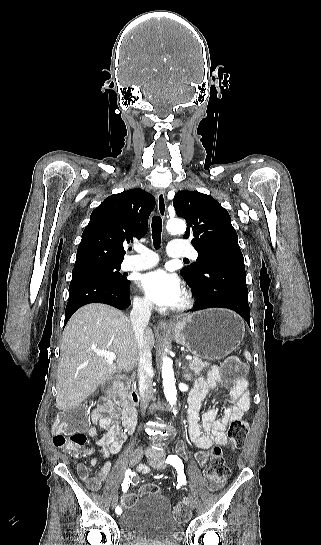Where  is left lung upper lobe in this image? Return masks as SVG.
Here are the masks:
<instances>
[{"mask_svg": "<svg viewBox=\"0 0 321 545\" xmlns=\"http://www.w3.org/2000/svg\"><path fill=\"white\" fill-rule=\"evenodd\" d=\"M177 216L186 219L185 239L198 252L197 261L180 270L186 281L197 278L204 262L214 253L240 250L238 236L226 209L207 194L180 191L173 201Z\"/></svg>", "mask_w": 321, "mask_h": 545, "instance_id": "1", "label": "left lung upper lobe"}]
</instances>
